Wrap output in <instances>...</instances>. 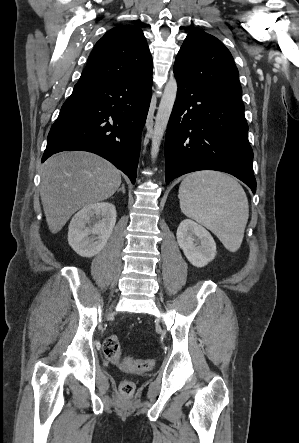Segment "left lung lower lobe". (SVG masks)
<instances>
[{
	"label": "left lung lower lobe",
	"mask_w": 299,
	"mask_h": 443,
	"mask_svg": "<svg viewBox=\"0 0 299 443\" xmlns=\"http://www.w3.org/2000/svg\"><path fill=\"white\" fill-rule=\"evenodd\" d=\"M176 101L165 138L166 184L183 174L217 170L256 191L243 102L175 74Z\"/></svg>",
	"instance_id": "0a47b994"
}]
</instances>
